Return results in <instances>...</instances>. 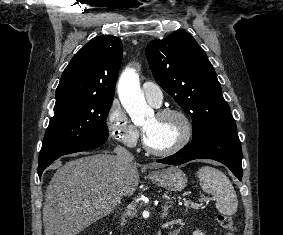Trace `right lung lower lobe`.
<instances>
[{
	"label": "right lung lower lobe",
	"instance_id": "right-lung-lower-lobe-1",
	"mask_svg": "<svg viewBox=\"0 0 283 235\" xmlns=\"http://www.w3.org/2000/svg\"><path fill=\"white\" fill-rule=\"evenodd\" d=\"M106 139L107 137L106 138L98 137L91 139L89 141L76 142L56 150L55 152L47 156L44 160L39 161L38 175L41 177L42 172L58 157L66 154L94 149L100 146L101 144H103L106 141Z\"/></svg>",
	"mask_w": 283,
	"mask_h": 235
}]
</instances>
